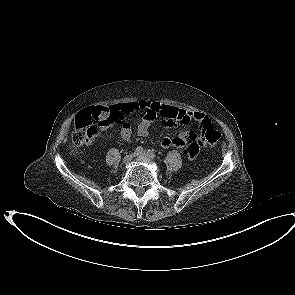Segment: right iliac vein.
<instances>
[{"mask_svg":"<svg viewBox=\"0 0 295 295\" xmlns=\"http://www.w3.org/2000/svg\"><path fill=\"white\" fill-rule=\"evenodd\" d=\"M135 157V154H128L123 158V164H128Z\"/></svg>","mask_w":295,"mask_h":295,"instance_id":"right-iliac-vein-1","label":"right iliac vein"}]
</instances>
